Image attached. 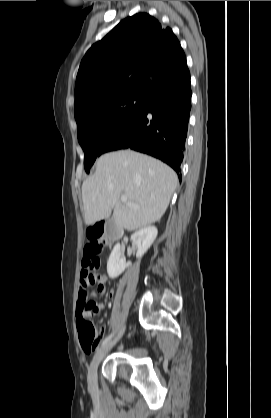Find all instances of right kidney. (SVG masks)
Returning a JSON list of instances; mask_svg holds the SVG:
<instances>
[{
  "label": "right kidney",
  "instance_id": "ca27d5eb",
  "mask_svg": "<svg viewBox=\"0 0 271 418\" xmlns=\"http://www.w3.org/2000/svg\"><path fill=\"white\" fill-rule=\"evenodd\" d=\"M158 234V230L155 226L144 227L131 235V240L137 247L136 257H142L150 246L153 244ZM131 263H126V259L122 252V248L119 243H117L107 262V273L110 278H117L121 275Z\"/></svg>",
  "mask_w": 271,
  "mask_h": 418
}]
</instances>
